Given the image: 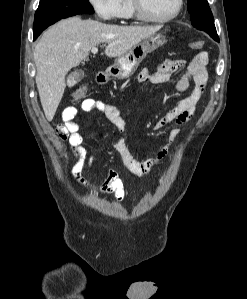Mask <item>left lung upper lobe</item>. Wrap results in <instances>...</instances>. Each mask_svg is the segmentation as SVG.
Returning a JSON list of instances; mask_svg holds the SVG:
<instances>
[{"label":"left lung upper lobe","instance_id":"obj_1","mask_svg":"<svg viewBox=\"0 0 247 299\" xmlns=\"http://www.w3.org/2000/svg\"><path fill=\"white\" fill-rule=\"evenodd\" d=\"M188 12L195 28L207 32L210 36H218L207 0H188Z\"/></svg>","mask_w":247,"mask_h":299}]
</instances>
